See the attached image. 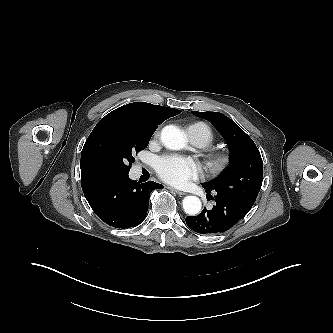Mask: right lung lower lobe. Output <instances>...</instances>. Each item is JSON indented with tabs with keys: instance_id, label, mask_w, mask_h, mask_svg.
I'll use <instances>...</instances> for the list:
<instances>
[{
	"instance_id": "right-lung-lower-lobe-1",
	"label": "right lung lower lobe",
	"mask_w": 333,
	"mask_h": 333,
	"mask_svg": "<svg viewBox=\"0 0 333 333\" xmlns=\"http://www.w3.org/2000/svg\"><path fill=\"white\" fill-rule=\"evenodd\" d=\"M83 193L96 215L116 228L135 227L148 211L149 195L161 184L137 183L128 174H101L81 184Z\"/></svg>"
}]
</instances>
